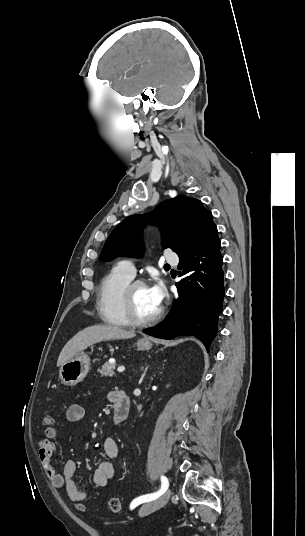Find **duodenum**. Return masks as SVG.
<instances>
[{
  "label": "duodenum",
  "mask_w": 305,
  "mask_h": 536,
  "mask_svg": "<svg viewBox=\"0 0 305 536\" xmlns=\"http://www.w3.org/2000/svg\"><path fill=\"white\" fill-rule=\"evenodd\" d=\"M114 419L117 423L124 421L130 411V400L124 391L114 392L113 398Z\"/></svg>",
  "instance_id": "duodenum-1"
}]
</instances>
